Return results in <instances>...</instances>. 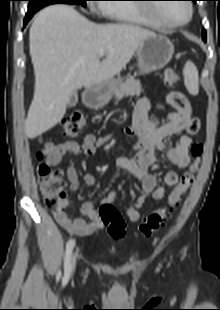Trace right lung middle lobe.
<instances>
[{
    "label": "right lung middle lobe",
    "mask_w": 220,
    "mask_h": 310,
    "mask_svg": "<svg viewBox=\"0 0 220 310\" xmlns=\"http://www.w3.org/2000/svg\"><path fill=\"white\" fill-rule=\"evenodd\" d=\"M28 11H38L41 8L54 3L81 4L86 6L87 0H28Z\"/></svg>",
    "instance_id": "obj_1"
}]
</instances>
